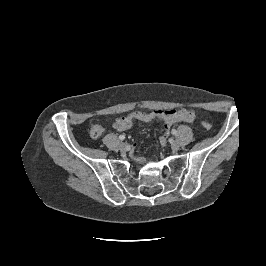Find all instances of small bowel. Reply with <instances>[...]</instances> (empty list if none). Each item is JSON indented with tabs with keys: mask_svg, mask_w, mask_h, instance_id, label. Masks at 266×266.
I'll return each instance as SVG.
<instances>
[{
	"mask_svg": "<svg viewBox=\"0 0 266 266\" xmlns=\"http://www.w3.org/2000/svg\"><path fill=\"white\" fill-rule=\"evenodd\" d=\"M162 120L164 122V132L160 136L159 141L162 145L167 143V135L172 125L178 122H193L195 119V113L191 110L171 109V110H155L151 112L135 111L128 115L119 117L115 120L113 127L117 131H126L132 127L134 122H151L153 120ZM104 128L97 123L92 124L90 128V135L92 138L97 139L102 136Z\"/></svg>",
	"mask_w": 266,
	"mask_h": 266,
	"instance_id": "obj_1",
	"label": "small bowel"
}]
</instances>
